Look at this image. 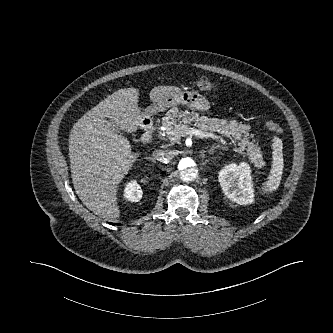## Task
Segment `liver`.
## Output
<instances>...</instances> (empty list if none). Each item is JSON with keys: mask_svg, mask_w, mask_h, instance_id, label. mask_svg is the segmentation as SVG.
Here are the masks:
<instances>
[{"mask_svg": "<svg viewBox=\"0 0 333 333\" xmlns=\"http://www.w3.org/2000/svg\"><path fill=\"white\" fill-rule=\"evenodd\" d=\"M180 91L174 86L154 87L150 99L157 103ZM138 99V89H119L84 114L71 130L69 157L75 192L90 211L104 218L120 216L117 187L140 155L133 154L128 139L115 131L117 126L134 132L143 124L147 116L138 107Z\"/></svg>", "mask_w": 333, "mask_h": 333, "instance_id": "liver-1", "label": "liver"}]
</instances>
